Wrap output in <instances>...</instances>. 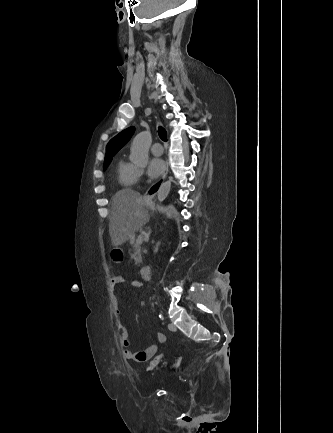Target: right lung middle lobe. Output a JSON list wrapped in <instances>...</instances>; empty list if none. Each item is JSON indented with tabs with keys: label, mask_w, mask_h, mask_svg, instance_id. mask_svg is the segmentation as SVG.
<instances>
[{
	"label": "right lung middle lobe",
	"mask_w": 333,
	"mask_h": 433,
	"mask_svg": "<svg viewBox=\"0 0 333 433\" xmlns=\"http://www.w3.org/2000/svg\"><path fill=\"white\" fill-rule=\"evenodd\" d=\"M107 166H108L107 164H106V165H104V169H106V168H107Z\"/></svg>",
	"instance_id": "dd1d6c3e"
}]
</instances>
